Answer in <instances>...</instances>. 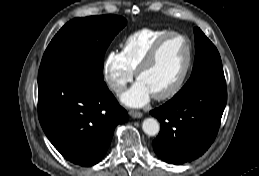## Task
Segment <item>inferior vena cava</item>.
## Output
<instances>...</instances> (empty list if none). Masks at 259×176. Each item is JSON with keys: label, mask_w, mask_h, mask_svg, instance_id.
<instances>
[{"label": "inferior vena cava", "mask_w": 259, "mask_h": 176, "mask_svg": "<svg viewBox=\"0 0 259 176\" xmlns=\"http://www.w3.org/2000/svg\"><path fill=\"white\" fill-rule=\"evenodd\" d=\"M113 89H114L117 93H119V92H122V91L125 89V87H124L123 85H120V84H114V85H113Z\"/></svg>", "instance_id": "inferior-vena-cava-1"}]
</instances>
